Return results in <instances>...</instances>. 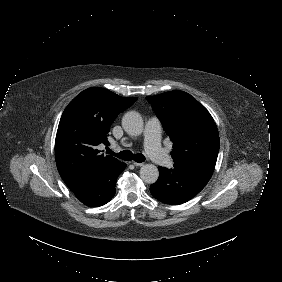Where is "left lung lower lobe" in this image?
Wrapping results in <instances>:
<instances>
[{
  "label": "left lung lower lobe",
  "instance_id": "obj_1",
  "mask_svg": "<svg viewBox=\"0 0 282 282\" xmlns=\"http://www.w3.org/2000/svg\"><path fill=\"white\" fill-rule=\"evenodd\" d=\"M158 169L159 178L150 186V192L159 201L170 205L192 199L205 187L214 171V167L202 165Z\"/></svg>",
  "mask_w": 282,
  "mask_h": 282
}]
</instances>
